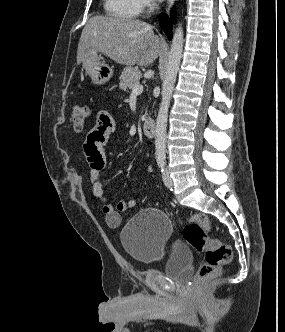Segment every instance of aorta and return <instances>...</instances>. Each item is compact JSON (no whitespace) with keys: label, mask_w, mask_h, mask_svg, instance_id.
<instances>
[{"label":"aorta","mask_w":285,"mask_h":332,"mask_svg":"<svg viewBox=\"0 0 285 332\" xmlns=\"http://www.w3.org/2000/svg\"><path fill=\"white\" fill-rule=\"evenodd\" d=\"M183 43V28L181 24H178L172 39L171 50L162 85V101L156 120L155 154L158 160H163L166 154V127L168 110L177 78V73L180 67Z\"/></svg>","instance_id":"aorta-1"}]
</instances>
